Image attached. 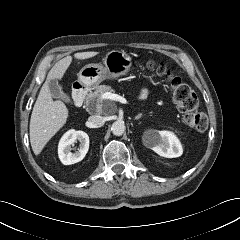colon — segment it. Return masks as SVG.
Listing matches in <instances>:
<instances>
[{
  "instance_id": "colon-1",
  "label": "colon",
  "mask_w": 240,
  "mask_h": 240,
  "mask_svg": "<svg viewBox=\"0 0 240 240\" xmlns=\"http://www.w3.org/2000/svg\"><path fill=\"white\" fill-rule=\"evenodd\" d=\"M142 66L165 82L174 104L183 113L186 125L195 131H204L208 125V118L199 109V100L194 90L163 62L148 60L142 62Z\"/></svg>"
}]
</instances>
